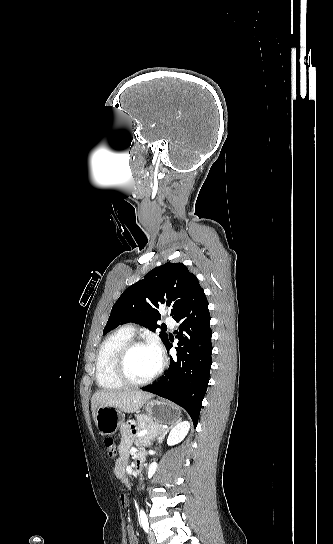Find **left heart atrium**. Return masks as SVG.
I'll return each mask as SVG.
<instances>
[{"label": "left heart atrium", "instance_id": "obj_1", "mask_svg": "<svg viewBox=\"0 0 333 544\" xmlns=\"http://www.w3.org/2000/svg\"><path fill=\"white\" fill-rule=\"evenodd\" d=\"M154 348L157 351L158 355L160 356V348L158 346H155Z\"/></svg>", "mask_w": 333, "mask_h": 544}]
</instances>
